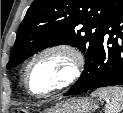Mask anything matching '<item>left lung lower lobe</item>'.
Wrapping results in <instances>:
<instances>
[{
  "label": "left lung lower lobe",
  "instance_id": "obj_1",
  "mask_svg": "<svg viewBox=\"0 0 123 113\" xmlns=\"http://www.w3.org/2000/svg\"><path fill=\"white\" fill-rule=\"evenodd\" d=\"M123 85V0H112L102 39L84 75L65 95Z\"/></svg>",
  "mask_w": 123,
  "mask_h": 113
}]
</instances>
